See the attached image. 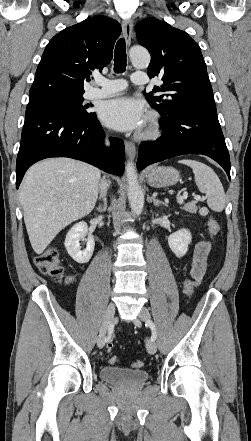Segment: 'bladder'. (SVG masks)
Listing matches in <instances>:
<instances>
[{
	"label": "bladder",
	"mask_w": 251,
	"mask_h": 441,
	"mask_svg": "<svg viewBox=\"0 0 251 441\" xmlns=\"http://www.w3.org/2000/svg\"><path fill=\"white\" fill-rule=\"evenodd\" d=\"M102 380L123 386H138L149 379V373L146 370H135L124 367L104 366L100 369Z\"/></svg>",
	"instance_id": "31cf9c89"
}]
</instances>
